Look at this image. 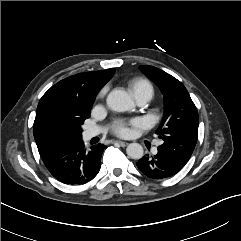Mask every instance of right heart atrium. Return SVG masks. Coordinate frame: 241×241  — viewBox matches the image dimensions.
Masks as SVG:
<instances>
[{
	"mask_svg": "<svg viewBox=\"0 0 241 241\" xmlns=\"http://www.w3.org/2000/svg\"><path fill=\"white\" fill-rule=\"evenodd\" d=\"M103 94H104V91L101 92V95H103Z\"/></svg>",
	"mask_w": 241,
	"mask_h": 241,
	"instance_id": "obj_1",
	"label": "right heart atrium"
}]
</instances>
